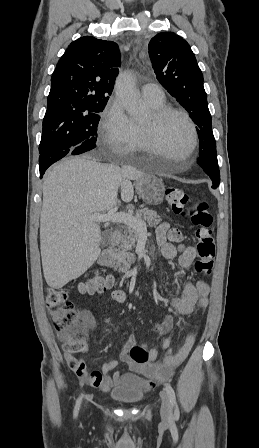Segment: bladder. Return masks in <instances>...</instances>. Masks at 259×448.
Instances as JSON below:
<instances>
[{"mask_svg": "<svg viewBox=\"0 0 259 448\" xmlns=\"http://www.w3.org/2000/svg\"><path fill=\"white\" fill-rule=\"evenodd\" d=\"M110 397L118 403L134 405L143 400L144 393L137 388H116L111 391Z\"/></svg>", "mask_w": 259, "mask_h": 448, "instance_id": "1", "label": "bladder"}]
</instances>
